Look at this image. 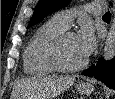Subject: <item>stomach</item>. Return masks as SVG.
Masks as SVG:
<instances>
[{"label":"stomach","instance_id":"1","mask_svg":"<svg viewBox=\"0 0 115 99\" xmlns=\"http://www.w3.org/2000/svg\"><path fill=\"white\" fill-rule=\"evenodd\" d=\"M94 90V86L88 82L80 83L77 85V91L82 95L91 94Z\"/></svg>","mask_w":115,"mask_h":99}]
</instances>
